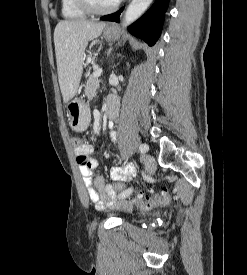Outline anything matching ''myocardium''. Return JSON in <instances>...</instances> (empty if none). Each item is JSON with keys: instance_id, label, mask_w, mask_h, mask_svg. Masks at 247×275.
<instances>
[{"instance_id": "f54148a6", "label": "myocardium", "mask_w": 247, "mask_h": 275, "mask_svg": "<svg viewBox=\"0 0 247 275\" xmlns=\"http://www.w3.org/2000/svg\"><path fill=\"white\" fill-rule=\"evenodd\" d=\"M76 7L82 10L84 13L89 15H106L112 13L117 9L121 0L116 1L114 5L109 8H96L94 7L89 0H73Z\"/></svg>"}]
</instances>
